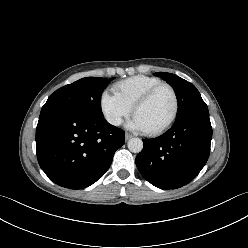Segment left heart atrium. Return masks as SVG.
Listing matches in <instances>:
<instances>
[{
	"mask_svg": "<svg viewBox=\"0 0 248 248\" xmlns=\"http://www.w3.org/2000/svg\"><path fill=\"white\" fill-rule=\"evenodd\" d=\"M128 126L131 129L134 130H138V131H145V128L143 127V125L141 124V122L139 121V119L137 117H134L129 123Z\"/></svg>",
	"mask_w": 248,
	"mask_h": 248,
	"instance_id": "39dd6f15",
	"label": "left heart atrium"
}]
</instances>
